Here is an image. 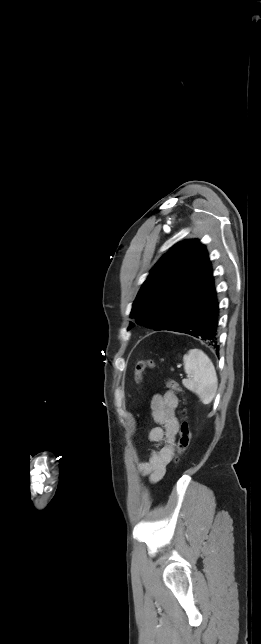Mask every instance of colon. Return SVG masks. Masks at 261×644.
Wrapping results in <instances>:
<instances>
[{"instance_id": "colon-1", "label": "colon", "mask_w": 261, "mask_h": 644, "mask_svg": "<svg viewBox=\"0 0 261 644\" xmlns=\"http://www.w3.org/2000/svg\"><path fill=\"white\" fill-rule=\"evenodd\" d=\"M154 367H155V363L153 360L148 359V360L139 361L135 366L136 380L138 382H141L145 370L148 368H154ZM166 386L173 391L180 390L178 382L174 379H167ZM190 441H191L190 426L187 418L184 416L179 426V441H178L177 450L175 454L176 461L187 450L190 444Z\"/></svg>"}]
</instances>
